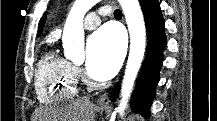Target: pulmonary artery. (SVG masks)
<instances>
[{
	"label": "pulmonary artery",
	"mask_w": 217,
	"mask_h": 121,
	"mask_svg": "<svg viewBox=\"0 0 217 121\" xmlns=\"http://www.w3.org/2000/svg\"><path fill=\"white\" fill-rule=\"evenodd\" d=\"M109 14L107 9H99L89 13L84 19V27L88 30H93L98 27L101 19Z\"/></svg>",
	"instance_id": "pulmonary-artery-1"
}]
</instances>
